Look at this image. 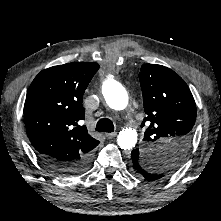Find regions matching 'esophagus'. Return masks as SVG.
<instances>
[{
	"mask_svg": "<svg viewBox=\"0 0 221 221\" xmlns=\"http://www.w3.org/2000/svg\"><path fill=\"white\" fill-rule=\"evenodd\" d=\"M117 135L116 132H112V133H106L105 136L109 139L114 138Z\"/></svg>",
	"mask_w": 221,
	"mask_h": 221,
	"instance_id": "34e87169",
	"label": "esophagus"
}]
</instances>
